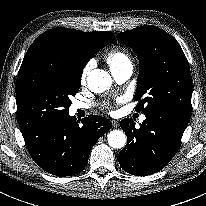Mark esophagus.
I'll use <instances>...</instances> for the list:
<instances>
[{
	"mask_svg": "<svg viewBox=\"0 0 206 206\" xmlns=\"http://www.w3.org/2000/svg\"><path fill=\"white\" fill-rule=\"evenodd\" d=\"M112 125L116 128L119 126V122L117 120H112Z\"/></svg>",
	"mask_w": 206,
	"mask_h": 206,
	"instance_id": "34e87169",
	"label": "esophagus"
}]
</instances>
